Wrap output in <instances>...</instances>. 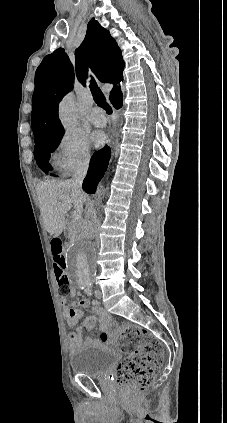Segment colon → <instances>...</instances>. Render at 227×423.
<instances>
[{
	"instance_id": "obj_1",
	"label": "colon",
	"mask_w": 227,
	"mask_h": 423,
	"mask_svg": "<svg viewBox=\"0 0 227 423\" xmlns=\"http://www.w3.org/2000/svg\"><path fill=\"white\" fill-rule=\"evenodd\" d=\"M54 273L62 294L70 292L71 283L65 274L63 242H51ZM120 349L126 358L119 364L115 380L127 395H139L150 388L163 362L160 341L147 329L128 324L120 328Z\"/></svg>"
}]
</instances>
